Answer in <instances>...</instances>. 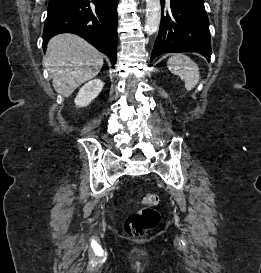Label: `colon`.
<instances>
[{
    "label": "colon",
    "instance_id": "colon-1",
    "mask_svg": "<svg viewBox=\"0 0 261 273\" xmlns=\"http://www.w3.org/2000/svg\"><path fill=\"white\" fill-rule=\"evenodd\" d=\"M142 203L147 207L131 215L125 222V231L130 236H138L146 230L156 226L160 220L159 213L152 208L158 203L156 194H146L142 197Z\"/></svg>",
    "mask_w": 261,
    "mask_h": 273
}]
</instances>
